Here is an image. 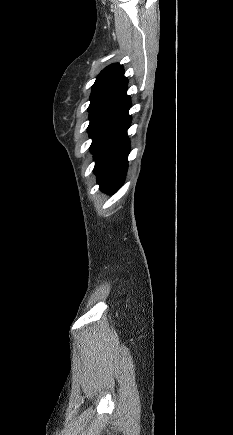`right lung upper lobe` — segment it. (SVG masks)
Returning a JSON list of instances; mask_svg holds the SVG:
<instances>
[{"label": "right lung upper lobe", "mask_w": 233, "mask_h": 435, "mask_svg": "<svg viewBox=\"0 0 233 435\" xmlns=\"http://www.w3.org/2000/svg\"><path fill=\"white\" fill-rule=\"evenodd\" d=\"M128 80L123 66L115 63L107 66L97 76L92 87L89 117L97 115L128 116L131 100L127 95Z\"/></svg>", "instance_id": "1"}]
</instances>
